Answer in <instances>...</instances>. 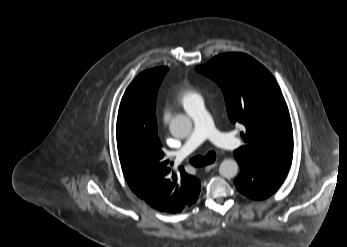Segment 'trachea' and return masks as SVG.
<instances>
[{
  "mask_svg": "<svg viewBox=\"0 0 347 247\" xmlns=\"http://www.w3.org/2000/svg\"><path fill=\"white\" fill-rule=\"evenodd\" d=\"M216 159V153L214 151L209 152L206 156L197 155L190 159V163L195 167H202L208 164H212Z\"/></svg>",
  "mask_w": 347,
  "mask_h": 247,
  "instance_id": "trachea-1",
  "label": "trachea"
}]
</instances>
